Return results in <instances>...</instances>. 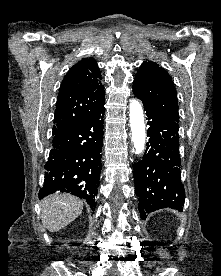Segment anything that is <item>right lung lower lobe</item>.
Instances as JSON below:
<instances>
[{
    "mask_svg": "<svg viewBox=\"0 0 221 276\" xmlns=\"http://www.w3.org/2000/svg\"><path fill=\"white\" fill-rule=\"evenodd\" d=\"M104 112L103 105L84 122L53 134L40 199L61 191L85 199L91 207L96 205L102 168Z\"/></svg>",
    "mask_w": 221,
    "mask_h": 276,
    "instance_id": "right-lung-lower-lobe-1",
    "label": "right lung lower lobe"
}]
</instances>
